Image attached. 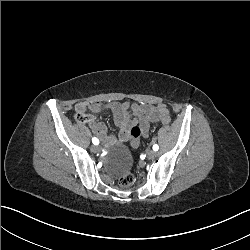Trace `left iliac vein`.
<instances>
[{
	"label": "left iliac vein",
	"mask_w": 250,
	"mask_h": 250,
	"mask_svg": "<svg viewBox=\"0 0 250 250\" xmlns=\"http://www.w3.org/2000/svg\"><path fill=\"white\" fill-rule=\"evenodd\" d=\"M147 157L149 159H154L157 157V152L156 151H153V150H148L147 151Z\"/></svg>",
	"instance_id": "1"
}]
</instances>
